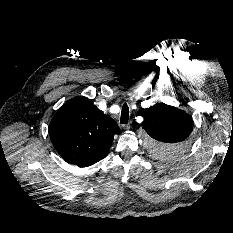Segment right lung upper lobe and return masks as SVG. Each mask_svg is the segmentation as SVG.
<instances>
[{"label":"right lung upper lobe","mask_w":233,"mask_h":233,"mask_svg":"<svg viewBox=\"0 0 233 233\" xmlns=\"http://www.w3.org/2000/svg\"><path fill=\"white\" fill-rule=\"evenodd\" d=\"M49 134L55 149L65 161L88 167L108 154L114 135H119L120 129L89 99L76 97L54 115Z\"/></svg>","instance_id":"cb5924a9"}]
</instances>
